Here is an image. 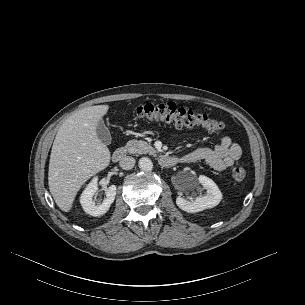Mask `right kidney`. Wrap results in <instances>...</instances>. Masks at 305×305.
<instances>
[{
    "mask_svg": "<svg viewBox=\"0 0 305 305\" xmlns=\"http://www.w3.org/2000/svg\"><path fill=\"white\" fill-rule=\"evenodd\" d=\"M97 178H94L85 188L80 197V203L82 205L83 210L92 216H101L105 214L111 204L115 200L116 196V186L111 185L106 191V198L103 200L101 204H96L94 197L98 192Z\"/></svg>",
    "mask_w": 305,
    "mask_h": 305,
    "instance_id": "obj_1",
    "label": "right kidney"
}]
</instances>
